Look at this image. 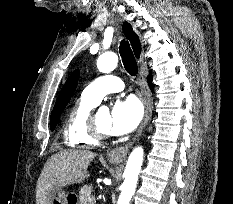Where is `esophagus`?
<instances>
[{
	"mask_svg": "<svg viewBox=\"0 0 233 204\" xmlns=\"http://www.w3.org/2000/svg\"><path fill=\"white\" fill-rule=\"evenodd\" d=\"M139 82L141 85L142 101H143L144 107H145V114H144L143 121L141 123V126H140L137 134L135 135V137L133 138L132 141H130L128 144H126L124 146L116 147L108 152L107 158L111 161L121 162L126 158L130 147L140 137L144 128L147 126L148 122L151 119L152 98H151L150 91L146 85V82H145V79H144V76L142 73H140V75H139Z\"/></svg>",
	"mask_w": 233,
	"mask_h": 204,
	"instance_id": "obj_1",
	"label": "esophagus"
}]
</instances>
